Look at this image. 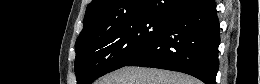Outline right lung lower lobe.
Here are the masks:
<instances>
[{"mask_svg":"<svg viewBox=\"0 0 260 84\" xmlns=\"http://www.w3.org/2000/svg\"><path fill=\"white\" fill-rule=\"evenodd\" d=\"M219 21L214 0H195L172 14L155 41L126 66L179 71L215 84Z\"/></svg>","mask_w":260,"mask_h":84,"instance_id":"right-lung-lower-lobe-1","label":"right lung lower lobe"}]
</instances>
